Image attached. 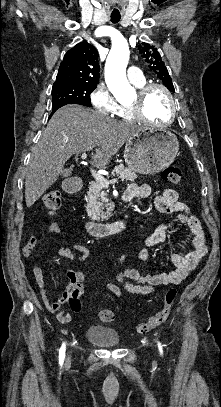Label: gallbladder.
Masks as SVG:
<instances>
[{"mask_svg":"<svg viewBox=\"0 0 221 407\" xmlns=\"http://www.w3.org/2000/svg\"><path fill=\"white\" fill-rule=\"evenodd\" d=\"M70 174H71V169H64L61 172V175L64 177L69 176Z\"/></svg>","mask_w":221,"mask_h":407,"instance_id":"gallbladder-1","label":"gallbladder"}]
</instances>
